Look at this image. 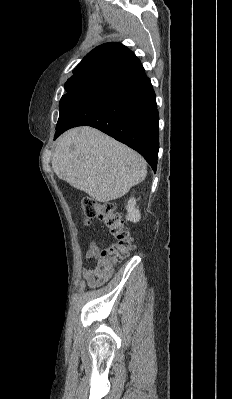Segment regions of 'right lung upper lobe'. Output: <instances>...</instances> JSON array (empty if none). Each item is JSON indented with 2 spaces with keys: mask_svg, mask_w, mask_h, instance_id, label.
Here are the masks:
<instances>
[{
  "mask_svg": "<svg viewBox=\"0 0 232 399\" xmlns=\"http://www.w3.org/2000/svg\"><path fill=\"white\" fill-rule=\"evenodd\" d=\"M140 60L120 43L102 44L87 54L68 81L76 79L105 80L137 64Z\"/></svg>",
  "mask_w": 232,
  "mask_h": 399,
  "instance_id": "1",
  "label": "right lung upper lobe"
}]
</instances>
